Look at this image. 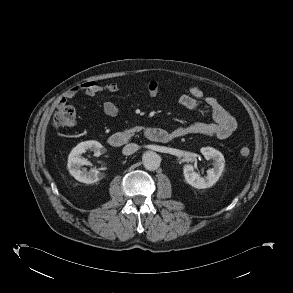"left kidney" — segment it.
<instances>
[{"label":"left kidney","mask_w":293,"mask_h":293,"mask_svg":"<svg viewBox=\"0 0 293 293\" xmlns=\"http://www.w3.org/2000/svg\"><path fill=\"white\" fill-rule=\"evenodd\" d=\"M201 153L206 160H213L214 167L207 171L206 176L201 177L190 164L183 167L186 182L197 189L212 187L222 175L225 166L224 156L218 150L212 147H203L201 148Z\"/></svg>","instance_id":"left-kidney-1"}]
</instances>
